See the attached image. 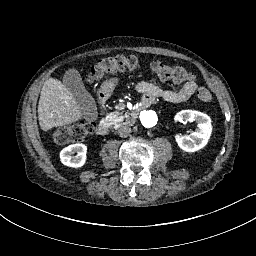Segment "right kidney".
<instances>
[{
	"mask_svg": "<svg viewBox=\"0 0 256 256\" xmlns=\"http://www.w3.org/2000/svg\"><path fill=\"white\" fill-rule=\"evenodd\" d=\"M87 147L84 144H72L60 152L61 162L69 167H82L86 161ZM74 153L77 155L73 156Z\"/></svg>",
	"mask_w": 256,
	"mask_h": 256,
	"instance_id": "right-kidney-1",
	"label": "right kidney"
}]
</instances>
